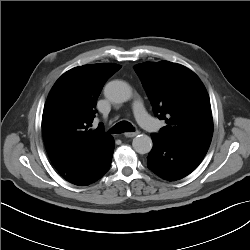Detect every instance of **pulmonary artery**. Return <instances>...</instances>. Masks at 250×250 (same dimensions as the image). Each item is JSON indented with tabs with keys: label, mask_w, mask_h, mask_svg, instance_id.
<instances>
[{
	"label": "pulmonary artery",
	"mask_w": 250,
	"mask_h": 250,
	"mask_svg": "<svg viewBox=\"0 0 250 250\" xmlns=\"http://www.w3.org/2000/svg\"><path fill=\"white\" fill-rule=\"evenodd\" d=\"M133 112L138 123L145 129H152L154 125L153 118L146 112L141 101H136L133 104Z\"/></svg>",
	"instance_id": "pulmonary-artery-1"
}]
</instances>
